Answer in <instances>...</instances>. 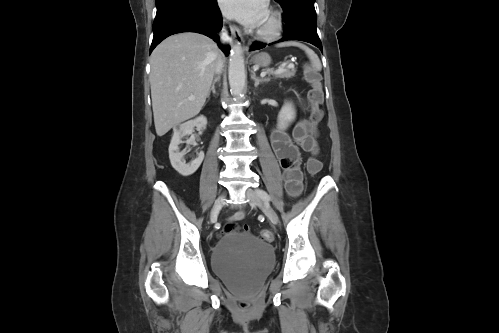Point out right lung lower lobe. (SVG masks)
<instances>
[{"label": "right lung lower lobe", "instance_id": "right-lung-lower-lobe-1", "mask_svg": "<svg viewBox=\"0 0 499 333\" xmlns=\"http://www.w3.org/2000/svg\"><path fill=\"white\" fill-rule=\"evenodd\" d=\"M222 28L221 13L217 0H208L203 4L187 1H171L157 8L153 23V41L150 53L165 38L181 32L204 34L219 44L217 33ZM226 55L229 48L219 44Z\"/></svg>", "mask_w": 499, "mask_h": 333}]
</instances>
